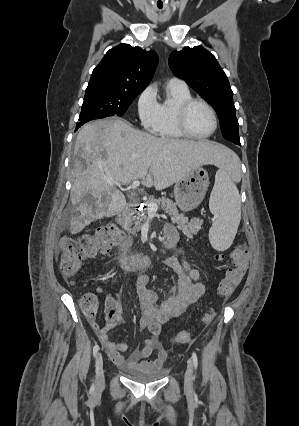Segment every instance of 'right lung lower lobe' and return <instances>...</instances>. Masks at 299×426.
<instances>
[{"label":"right lung lower lobe","instance_id":"1","mask_svg":"<svg viewBox=\"0 0 299 426\" xmlns=\"http://www.w3.org/2000/svg\"><path fill=\"white\" fill-rule=\"evenodd\" d=\"M100 118H105V117L92 116V117H88V118L82 119V120H80V121L77 123V125H76V130H77V129L81 126V125H83L84 123H86V122H88V121H90V120H93V119H100Z\"/></svg>","mask_w":299,"mask_h":426}]
</instances>
